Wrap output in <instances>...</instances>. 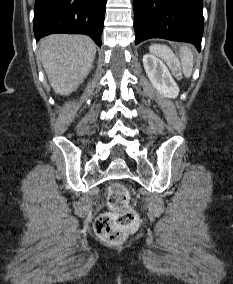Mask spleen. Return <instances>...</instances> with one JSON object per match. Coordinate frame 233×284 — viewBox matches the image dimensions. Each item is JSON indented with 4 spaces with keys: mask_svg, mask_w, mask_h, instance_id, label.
<instances>
[{
    "mask_svg": "<svg viewBox=\"0 0 233 284\" xmlns=\"http://www.w3.org/2000/svg\"><path fill=\"white\" fill-rule=\"evenodd\" d=\"M149 49L151 53L162 57L172 68V71L174 73H177L178 68L172 66V63L174 61V54L169 47L161 44H153ZM180 59L182 72L185 77L189 78L193 71L194 58L192 51L187 46L180 48Z\"/></svg>",
    "mask_w": 233,
    "mask_h": 284,
    "instance_id": "1",
    "label": "spleen"
}]
</instances>
